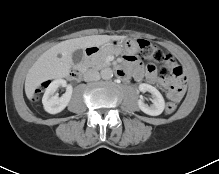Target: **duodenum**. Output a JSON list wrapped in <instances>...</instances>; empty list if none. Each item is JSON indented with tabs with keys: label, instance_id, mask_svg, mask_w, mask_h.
Instances as JSON below:
<instances>
[{
	"label": "duodenum",
	"instance_id": "410a0bca",
	"mask_svg": "<svg viewBox=\"0 0 219 174\" xmlns=\"http://www.w3.org/2000/svg\"><path fill=\"white\" fill-rule=\"evenodd\" d=\"M99 52V47H89L85 50L83 64L81 66L75 67L70 71V76L74 79H79L83 75L85 71V65L87 64L88 60L91 56L97 54ZM118 75L121 76L120 70L117 71Z\"/></svg>",
	"mask_w": 219,
	"mask_h": 174
}]
</instances>
